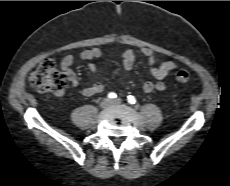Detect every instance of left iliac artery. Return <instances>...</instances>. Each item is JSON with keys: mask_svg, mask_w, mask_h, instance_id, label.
Returning a JSON list of instances; mask_svg holds the SVG:
<instances>
[{"mask_svg": "<svg viewBox=\"0 0 230 186\" xmlns=\"http://www.w3.org/2000/svg\"><path fill=\"white\" fill-rule=\"evenodd\" d=\"M127 101H128V103H130V104H135L136 99H135L134 96L129 95V96L127 97Z\"/></svg>", "mask_w": 230, "mask_h": 186, "instance_id": "1", "label": "left iliac artery"}]
</instances>
